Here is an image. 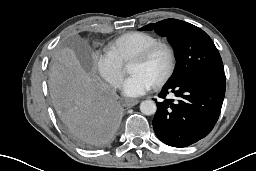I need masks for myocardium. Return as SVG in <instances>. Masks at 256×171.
<instances>
[{
	"label": "myocardium",
	"instance_id": "1",
	"mask_svg": "<svg viewBox=\"0 0 256 171\" xmlns=\"http://www.w3.org/2000/svg\"><path fill=\"white\" fill-rule=\"evenodd\" d=\"M160 49H164L167 51L169 56V65L165 74L154 84V86L157 88L165 85L171 79L175 72L177 59L174 48L167 42L158 41L136 54L132 59V62H146Z\"/></svg>",
	"mask_w": 256,
	"mask_h": 171
}]
</instances>
